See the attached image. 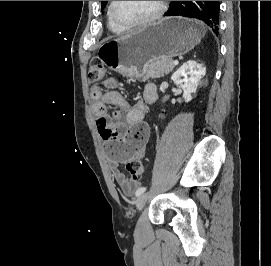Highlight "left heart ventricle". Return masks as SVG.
I'll use <instances>...</instances> for the list:
<instances>
[{"mask_svg": "<svg viewBox=\"0 0 271 266\" xmlns=\"http://www.w3.org/2000/svg\"><path fill=\"white\" fill-rule=\"evenodd\" d=\"M158 1H117L115 12L126 22H139L151 16L157 9Z\"/></svg>", "mask_w": 271, "mask_h": 266, "instance_id": "left-heart-ventricle-1", "label": "left heart ventricle"}]
</instances>
